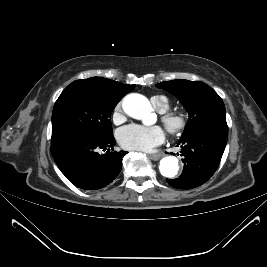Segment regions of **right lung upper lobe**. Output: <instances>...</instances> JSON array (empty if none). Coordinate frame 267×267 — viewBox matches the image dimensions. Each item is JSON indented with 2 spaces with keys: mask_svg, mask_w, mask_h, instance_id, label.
<instances>
[{
  "mask_svg": "<svg viewBox=\"0 0 267 267\" xmlns=\"http://www.w3.org/2000/svg\"><path fill=\"white\" fill-rule=\"evenodd\" d=\"M92 78H94L97 81H100L101 83H104L105 85L116 87L126 93L130 92L135 87V85H124L106 78H101V77H92Z\"/></svg>",
  "mask_w": 267,
  "mask_h": 267,
  "instance_id": "1",
  "label": "right lung upper lobe"
}]
</instances>
